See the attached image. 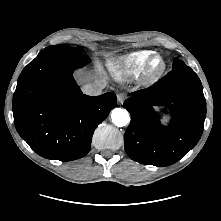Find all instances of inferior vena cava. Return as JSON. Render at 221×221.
Here are the masks:
<instances>
[{"label": "inferior vena cava", "instance_id": "602c4592", "mask_svg": "<svg viewBox=\"0 0 221 221\" xmlns=\"http://www.w3.org/2000/svg\"><path fill=\"white\" fill-rule=\"evenodd\" d=\"M106 87V82H96L90 83L84 86V93L90 96H98L101 95L103 89Z\"/></svg>", "mask_w": 221, "mask_h": 221}]
</instances>
